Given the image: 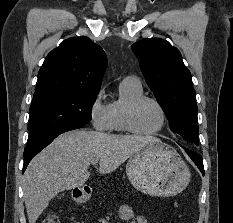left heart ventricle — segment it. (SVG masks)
<instances>
[{
  "instance_id": "obj_1",
  "label": "left heart ventricle",
  "mask_w": 233,
  "mask_h": 223,
  "mask_svg": "<svg viewBox=\"0 0 233 223\" xmlns=\"http://www.w3.org/2000/svg\"><path fill=\"white\" fill-rule=\"evenodd\" d=\"M136 126L142 132H154L163 123V116L160 109L153 102H144L136 113Z\"/></svg>"
}]
</instances>
